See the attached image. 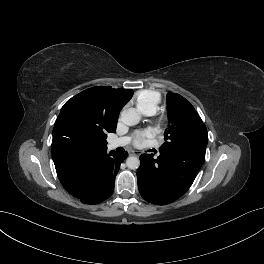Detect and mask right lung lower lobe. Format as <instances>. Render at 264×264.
<instances>
[{"label": "right lung lower lobe", "instance_id": "1", "mask_svg": "<svg viewBox=\"0 0 264 264\" xmlns=\"http://www.w3.org/2000/svg\"><path fill=\"white\" fill-rule=\"evenodd\" d=\"M128 153L105 151L83 163L64 188L86 204H98L109 198L114 190L115 177Z\"/></svg>", "mask_w": 264, "mask_h": 264}]
</instances>
